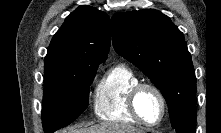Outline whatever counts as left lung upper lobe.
I'll return each mask as SVG.
<instances>
[{
    "instance_id": "5c2ea615",
    "label": "left lung upper lobe",
    "mask_w": 221,
    "mask_h": 133,
    "mask_svg": "<svg viewBox=\"0 0 221 133\" xmlns=\"http://www.w3.org/2000/svg\"><path fill=\"white\" fill-rule=\"evenodd\" d=\"M112 40L118 54L135 64L161 91L177 133L196 128V77L183 33L153 9L117 13Z\"/></svg>"
}]
</instances>
